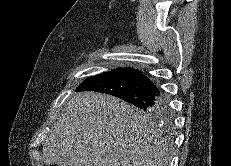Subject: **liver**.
<instances>
[{"mask_svg":"<svg viewBox=\"0 0 231 166\" xmlns=\"http://www.w3.org/2000/svg\"><path fill=\"white\" fill-rule=\"evenodd\" d=\"M169 146L157 124L111 95L69 98L43 146L46 165L167 166Z\"/></svg>","mask_w":231,"mask_h":166,"instance_id":"6515ba94","label":"liver"}]
</instances>
